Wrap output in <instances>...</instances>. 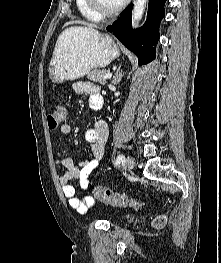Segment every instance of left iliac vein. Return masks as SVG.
I'll use <instances>...</instances> for the list:
<instances>
[{
    "label": "left iliac vein",
    "mask_w": 221,
    "mask_h": 263,
    "mask_svg": "<svg viewBox=\"0 0 221 263\" xmlns=\"http://www.w3.org/2000/svg\"><path fill=\"white\" fill-rule=\"evenodd\" d=\"M126 166L128 169H133L135 166V159L132 156H128L126 159Z\"/></svg>",
    "instance_id": "left-iliac-vein-1"
}]
</instances>
